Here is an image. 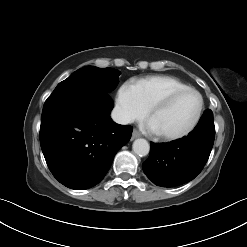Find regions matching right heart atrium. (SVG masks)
I'll return each mask as SVG.
<instances>
[{"mask_svg":"<svg viewBox=\"0 0 247 247\" xmlns=\"http://www.w3.org/2000/svg\"><path fill=\"white\" fill-rule=\"evenodd\" d=\"M116 112L123 122L141 119L147 112L135 85L124 83L118 90Z\"/></svg>","mask_w":247,"mask_h":247,"instance_id":"obj_1","label":"right heart atrium"}]
</instances>
